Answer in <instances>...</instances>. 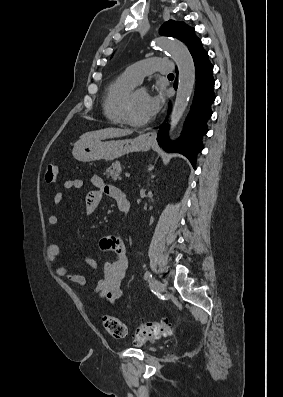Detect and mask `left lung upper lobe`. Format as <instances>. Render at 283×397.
<instances>
[{
	"instance_id": "5c2ea615",
	"label": "left lung upper lobe",
	"mask_w": 283,
	"mask_h": 397,
	"mask_svg": "<svg viewBox=\"0 0 283 397\" xmlns=\"http://www.w3.org/2000/svg\"><path fill=\"white\" fill-rule=\"evenodd\" d=\"M160 34L181 40L188 46L189 50L201 44V40L195 35L194 28L179 21L169 20L165 22L160 28Z\"/></svg>"
}]
</instances>
